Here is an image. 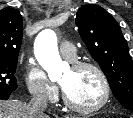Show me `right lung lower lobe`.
Segmentation results:
<instances>
[{
  "mask_svg": "<svg viewBox=\"0 0 133 118\" xmlns=\"http://www.w3.org/2000/svg\"><path fill=\"white\" fill-rule=\"evenodd\" d=\"M10 94L9 95H5V96H0V99L2 100H7L9 98Z\"/></svg>",
  "mask_w": 133,
  "mask_h": 118,
  "instance_id": "1",
  "label": "right lung lower lobe"
}]
</instances>
